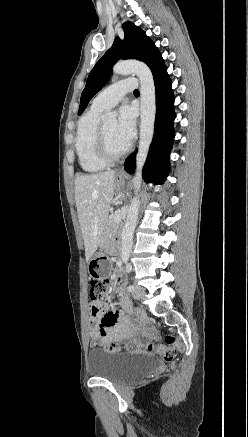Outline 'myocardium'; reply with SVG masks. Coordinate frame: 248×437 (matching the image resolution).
<instances>
[{
    "instance_id": "obj_1",
    "label": "myocardium",
    "mask_w": 248,
    "mask_h": 437,
    "mask_svg": "<svg viewBox=\"0 0 248 437\" xmlns=\"http://www.w3.org/2000/svg\"><path fill=\"white\" fill-rule=\"evenodd\" d=\"M131 146L129 144L126 145L121 151L117 153H113L108 146L107 138L104 132L103 124L99 125L98 134H97V153L102 161L107 164H112L119 159H121L124 155H126Z\"/></svg>"
}]
</instances>
